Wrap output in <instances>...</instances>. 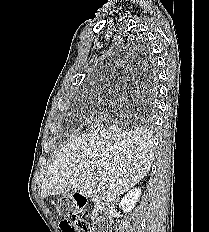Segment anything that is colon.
I'll list each match as a JSON object with an SVG mask.
<instances>
[{
    "mask_svg": "<svg viewBox=\"0 0 209 232\" xmlns=\"http://www.w3.org/2000/svg\"><path fill=\"white\" fill-rule=\"evenodd\" d=\"M60 227L63 232H91V227L87 220L78 215L69 220H63L60 223Z\"/></svg>",
    "mask_w": 209,
    "mask_h": 232,
    "instance_id": "colon-1",
    "label": "colon"
}]
</instances>
